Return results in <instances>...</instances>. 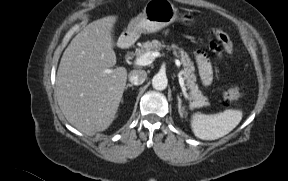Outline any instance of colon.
Masks as SVG:
<instances>
[{"label":"colon","mask_w":288,"mask_h":181,"mask_svg":"<svg viewBox=\"0 0 288 181\" xmlns=\"http://www.w3.org/2000/svg\"><path fill=\"white\" fill-rule=\"evenodd\" d=\"M215 39L219 43V48L227 53H232L233 45L228 34L221 28H216L213 31ZM241 96V90L236 86L227 87L222 92V103L224 105H229L233 101L237 100Z\"/></svg>","instance_id":"1"}]
</instances>
